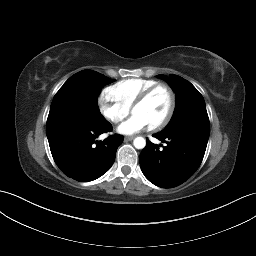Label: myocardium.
Returning <instances> with one entry per match:
<instances>
[{
  "label": "myocardium",
  "instance_id": "obj_1",
  "mask_svg": "<svg viewBox=\"0 0 256 256\" xmlns=\"http://www.w3.org/2000/svg\"><path fill=\"white\" fill-rule=\"evenodd\" d=\"M159 89H164L167 91L170 98V104L165 116L157 123L149 126L150 129L152 130H158L163 128L169 123L170 119L172 118L175 107H176V95L173 89L167 84L158 83L156 85L149 87L143 93H141L132 105V110H133L135 107L144 104L150 98V96Z\"/></svg>",
  "mask_w": 256,
  "mask_h": 256
}]
</instances>
